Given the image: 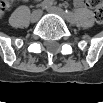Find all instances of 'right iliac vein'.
<instances>
[{"mask_svg": "<svg viewBox=\"0 0 103 103\" xmlns=\"http://www.w3.org/2000/svg\"><path fill=\"white\" fill-rule=\"evenodd\" d=\"M42 11L40 9L33 11V13L30 16L31 22H36L40 16H41Z\"/></svg>", "mask_w": 103, "mask_h": 103, "instance_id": "right-iliac-vein-1", "label": "right iliac vein"}]
</instances>
